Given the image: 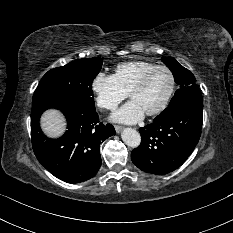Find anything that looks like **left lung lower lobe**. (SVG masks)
Segmentation results:
<instances>
[{
	"mask_svg": "<svg viewBox=\"0 0 233 233\" xmlns=\"http://www.w3.org/2000/svg\"><path fill=\"white\" fill-rule=\"evenodd\" d=\"M203 122V98L192 97L166 117L140 128L141 144L131 153L141 170L164 175L180 167L197 145Z\"/></svg>",
	"mask_w": 233,
	"mask_h": 233,
	"instance_id": "0a47b994",
	"label": "left lung lower lobe"
}]
</instances>
